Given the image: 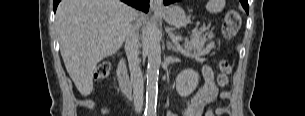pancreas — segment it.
<instances>
[{
  "label": "pancreas",
  "mask_w": 305,
  "mask_h": 116,
  "mask_svg": "<svg viewBox=\"0 0 305 116\" xmlns=\"http://www.w3.org/2000/svg\"><path fill=\"white\" fill-rule=\"evenodd\" d=\"M177 38L180 39L179 37ZM206 41V36L200 33L196 36L191 37L190 41H186L183 46H178V50L185 57L200 58L201 56L209 52L208 50L204 49Z\"/></svg>",
  "instance_id": "pancreas-1"
}]
</instances>
